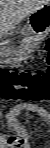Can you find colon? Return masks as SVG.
Returning a JSON list of instances; mask_svg holds the SVG:
<instances>
[{
	"label": "colon",
	"instance_id": "1",
	"mask_svg": "<svg viewBox=\"0 0 50 148\" xmlns=\"http://www.w3.org/2000/svg\"><path fill=\"white\" fill-rule=\"evenodd\" d=\"M50 50V43H46ZM50 63V56L44 58ZM1 94L4 99L16 101H47L50 98V71L26 72L2 70Z\"/></svg>",
	"mask_w": 50,
	"mask_h": 148
}]
</instances>
